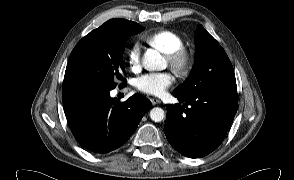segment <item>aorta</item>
<instances>
[{
  "label": "aorta",
  "mask_w": 294,
  "mask_h": 180,
  "mask_svg": "<svg viewBox=\"0 0 294 180\" xmlns=\"http://www.w3.org/2000/svg\"><path fill=\"white\" fill-rule=\"evenodd\" d=\"M143 65L151 71H161L166 69L167 61L165 58L154 49H148L143 56ZM165 117V112L162 108L154 107L150 111V118L154 122H161Z\"/></svg>",
  "instance_id": "aorta-1"
}]
</instances>
